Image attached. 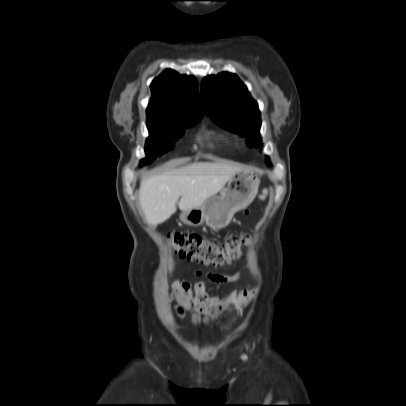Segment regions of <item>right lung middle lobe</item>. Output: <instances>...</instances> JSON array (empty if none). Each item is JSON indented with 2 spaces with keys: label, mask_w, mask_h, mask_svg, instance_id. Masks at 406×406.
Wrapping results in <instances>:
<instances>
[{
  "label": "right lung middle lobe",
  "mask_w": 406,
  "mask_h": 406,
  "mask_svg": "<svg viewBox=\"0 0 406 406\" xmlns=\"http://www.w3.org/2000/svg\"><path fill=\"white\" fill-rule=\"evenodd\" d=\"M197 120L186 123L147 122L150 134L145 146L147 158L143 159L140 164L150 163L157 156L171 150L174 147V141L185 133L184 128L195 124Z\"/></svg>",
  "instance_id": "obj_1"
}]
</instances>
